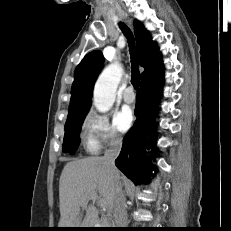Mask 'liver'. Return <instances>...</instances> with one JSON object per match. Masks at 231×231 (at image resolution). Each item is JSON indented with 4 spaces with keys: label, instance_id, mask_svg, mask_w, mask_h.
<instances>
[{
    "label": "liver",
    "instance_id": "obj_1",
    "mask_svg": "<svg viewBox=\"0 0 231 231\" xmlns=\"http://www.w3.org/2000/svg\"><path fill=\"white\" fill-rule=\"evenodd\" d=\"M115 176L120 180L119 171ZM99 194L103 207L111 213L114 209V177L107 170L102 157H87L68 162L59 181L60 228H92L99 223L98 210L89 197ZM86 211L80 219V209Z\"/></svg>",
    "mask_w": 231,
    "mask_h": 231
}]
</instances>
